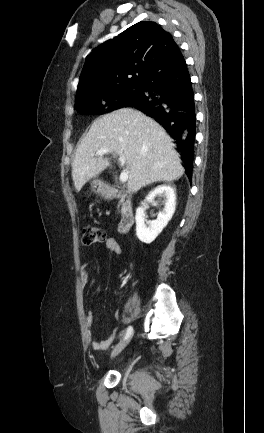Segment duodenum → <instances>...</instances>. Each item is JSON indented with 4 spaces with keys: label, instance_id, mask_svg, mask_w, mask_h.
<instances>
[{
    "label": "duodenum",
    "instance_id": "410a0bca",
    "mask_svg": "<svg viewBox=\"0 0 264 433\" xmlns=\"http://www.w3.org/2000/svg\"><path fill=\"white\" fill-rule=\"evenodd\" d=\"M106 198L118 200L121 202V219L119 223V232L127 233L133 226L135 220V212L132 196L129 192L108 187L103 191Z\"/></svg>",
    "mask_w": 264,
    "mask_h": 433
}]
</instances>
